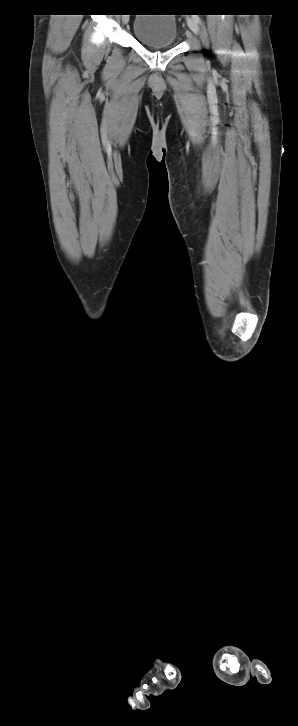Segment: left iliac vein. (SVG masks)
<instances>
[{"mask_svg":"<svg viewBox=\"0 0 298 726\" xmlns=\"http://www.w3.org/2000/svg\"><path fill=\"white\" fill-rule=\"evenodd\" d=\"M187 24H188V27L190 28V30L193 33H195V34H198L199 33L198 23L194 20L193 17H188L187 18Z\"/></svg>","mask_w":298,"mask_h":726,"instance_id":"left-iliac-vein-1","label":"left iliac vein"}]
</instances>
